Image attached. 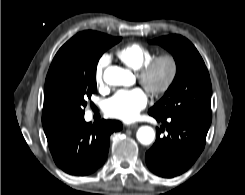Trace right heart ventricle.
Segmentation results:
<instances>
[{
    "instance_id": "right-heart-ventricle-1",
    "label": "right heart ventricle",
    "mask_w": 245,
    "mask_h": 195,
    "mask_svg": "<svg viewBox=\"0 0 245 195\" xmlns=\"http://www.w3.org/2000/svg\"><path fill=\"white\" fill-rule=\"evenodd\" d=\"M116 54L127 67L134 71H138L154 56L151 49L140 43L124 45L117 50Z\"/></svg>"
}]
</instances>
